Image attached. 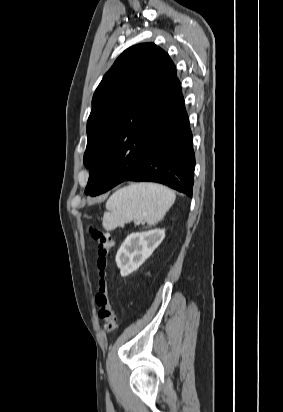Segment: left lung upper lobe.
<instances>
[{
	"mask_svg": "<svg viewBox=\"0 0 283 412\" xmlns=\"http://www.w3.org/2000/svg\"><path fill=\"white\" fill-rule=\"evenodd\" d=\"M180 93L175 65L155 44L133 46L117 58L92 100L84 154L90 174L86 194L98 195L94 176L108 153L140 158Z\"/></svg>",
	"mask_w": 283,
	"mask_h": 412,
	"instance_id": "5c2ea615",
	"label": "left lung upper lobe"
}]
</instances>
